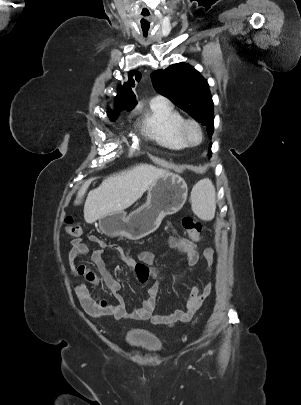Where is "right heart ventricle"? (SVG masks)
I'll list each match as a JSON object with an SVG mask.
<instances>
[{
	"mask_svg": "<svg viewBox=\"0 0 301 405\" xmlns=\"http://www.w3.org/2000/svg\"><path fill=\"white\" fill-rule=\"evenodd\" d=\"M182 119L172 105L152 101L149 108L139 116L137 125L145 136L157 144L172 150H182L188 146L179 131Z\"/></svg>",
	"mask_w": 301,
	"mask_h": 405,
	"instance_id": "1",
	"label": "right heart ventricle"
}]
</instances>
